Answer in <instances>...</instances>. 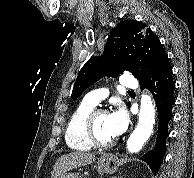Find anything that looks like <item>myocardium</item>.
I'll use <instances>...</instances> for the list:
<instances>
[{
  "instance_id": "myocardium-1",
  "label": "myocardium",
  "mask_w": 194,
  "mask_h": 178,
  "mask_svg": "<svg viewBox=\"0 0 194 178\" xmlns=\"http://www.w3.org/2000/svg\"><path fill=\"white\" fill-rule=\"evenodd\" d=\"M107 113L108 111L105 108L95 107L92 111H90V113L87 115L84 121V130H85L86 137L93 146L110 147L116 141L115 138L103 141L99 139V137L96 134V130H95L96 118L101 114H107Z\"/></svg>"
}]
</instances>
